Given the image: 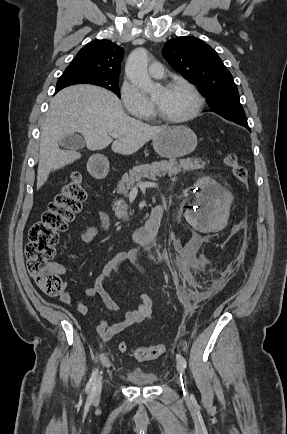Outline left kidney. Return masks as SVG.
Instances as JSON below:
<instances>
[{
	"label": "left kidney",
	"mask_w": 287,
	"mask_h": 434,
	"mask_svg": "<svg viewBox=\"0 0 287 434\" xmlns=\"http://www.w3.org/2000/svg\"><path fill=\"white\" fill-rule=\"evenodd\" d=\"M199 185L202 192L197 194V198L206 206L205 213L218 219L226 217L232 201L231 194L210 177L200 179ZM199 214L201 213L187 210L184 217L191 226L196 227L202 221Z\"/></svg>",
	"instance_id": "obj_1"
}]
</instances>
